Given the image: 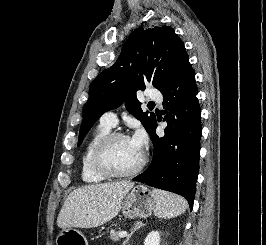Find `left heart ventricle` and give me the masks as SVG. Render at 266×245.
I'll list each match as a JSON object with an SVG mask.
<instances>
[{"label":"left heart ventricle","instance_id":"left-heart-ventricle-1","mask_svg":"<svg viewBox=\"0 0 266 245\" xmlns=\"http://www.w3.org/2000/svg\"><path fill=\"white\" fill-rule=\"evenodd\" d=\"M140 154L133 147L129 138H118L111 145L108 153V163L115 172L126 173L135 168Z\"/></svg>","mask_w":266,"mask_h":245}]
</instances>
